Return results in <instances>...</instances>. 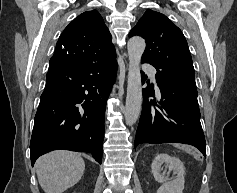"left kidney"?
<instances>
[{
	"mask_svg": "<svg viewBox=\"0 0 237 193\" xmlns=\"http://www.w3.org/2000/svg\"><path fill=\"white\" fill-rule=\"evenodd\" d=\"M165 164L169 171H173L177 176L170 180L165 173H161L162 165ZM152 173L156 181L162 183L157 193H183L185 167L176 157L168 154H158L151 165Z\"/></svg>",
	"mask_w": 237,
	"mask_h": 193,
	"instance_id": "obj_1",
	"label": "left kidney"
}]
</instances>
